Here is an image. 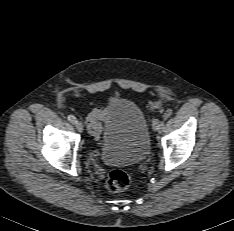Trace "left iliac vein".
Here are the masks:
<instances>
[{
    "label": "left iliac vein",
    "instance_id": "left-iliac-vein-1",
    "mask_svg": "<svg viewBox=\"0 0 234 231\" xmlns=\"http://www.w3.org/2000/svg\"><path fill=\"white\" fill-rule=\"evenodd\" d=\"M152 128L155 131L159 130V120L158 119H156V120L153 121Z\"/></svg>",
    "mask_w": 234,
    "mask_h": 231
}]
</instances>
